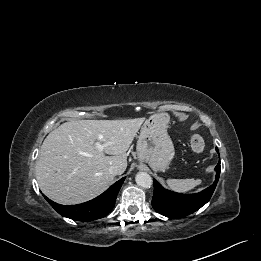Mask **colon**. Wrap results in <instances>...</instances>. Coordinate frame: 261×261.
<instances>
[{"label": "colon", "mask_w": 261, "mask_h": 261, "mask_svg": "<svg viewBox=\"0 0 261 261\" xmlns=\"http://www.w3.org/2000/svg\"><path fill=\"white\" fill-rule=\"evenodd\" d=\"M205 139L200 134H195L190 139V148L194 154H201L205 149Z\"/></svg>", "instance_id": "obj_1"}]
</instances>
